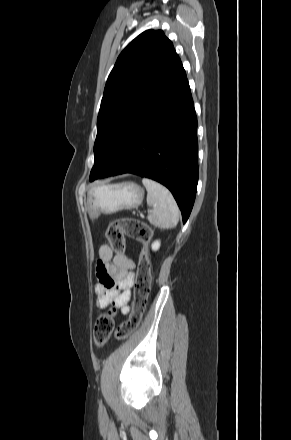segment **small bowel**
Here are the masks:
<instances>
[{"instance_id":"small-bowel-1","label":"small bowel","mask_w":291,"mask_h":440,"mask_svg":"<svg viewBox=\"0 0 291 440\" xmlns=\"http://www.w3.org/2000/svg\"><path fill=\"white\" fill-rule=\"evenodd\" d=\"M134 268L135 261L132 258L113 254L110 247L105 244L100 246L96 266V275L99 279V284L96 286L99 307L110 304L115 308H120L123 314L129 312L128 304L134 285ZM110 282H113L112 286Z\"/></svg>"}]
</instances>
